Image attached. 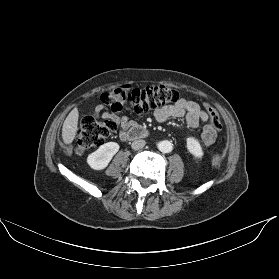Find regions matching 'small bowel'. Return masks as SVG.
<instances>
[{
  "instance_id": "1",
  "label": "small bowel",
  "mask_w": 279,
  "mask_h": 279,
  "mask_svg": "<svg viewBox=\"0 0 279 279\" xmlns=\"http://www.w3.org/2000/svg\"><path fill=\"white\" fill-rule=\"evenodd\" d=\"M103 112L102 116H107V108L105 105H98L95 109V114H100ZM155 119L164 123L170 118H182L186 119L189 127L196 128L200 123H206L208 121V113L203 110L196 102L180 99L172 105H166L156 108L154 111ZM120 124V138L124 139V134L127 130L136 126V122L130 120L127 116H122L118 119ZM217 132L212 128L211 122L207 123L204 127L203 133L201 135V141L203 145L209 146L212 144L216 138Z\"/></svg>"
}]
</instances>
